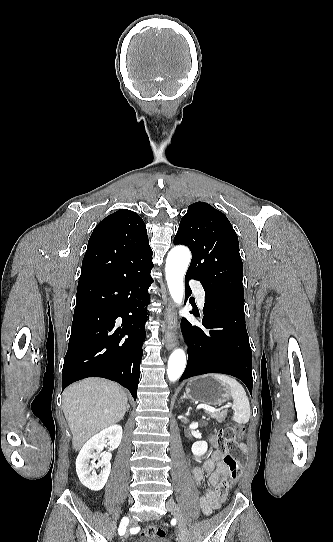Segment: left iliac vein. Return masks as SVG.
Returning a JSON list of instances; mask_svg holds the SVG:
<instances>
[{
    "mask_svg": "<svg viewBox=\"0 0 333 542\" xmlns=\"http://www.w3.org/2000/svg\"><path fill=\"white\" fill-rule=\"evenodd\" d=\"M166 507L178 521V542H191L181 508L173 500H168Z\"/></svg>",
    "mask_w": 333,
    "mask_h": 542,
    "instance_id": "obj_1",
    "label": "left iliac vein"
}]
</instances>
